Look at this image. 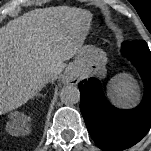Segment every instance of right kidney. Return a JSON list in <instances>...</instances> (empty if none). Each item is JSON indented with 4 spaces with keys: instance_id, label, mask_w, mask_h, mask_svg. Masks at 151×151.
<instances>
[{
    "instance_id": "1",
    "label": "right kidney",
    "mask_w": 151,
    "mask_h": 151,
    "mask_svg": "<svg viewBox=\"0 0 151 151\" xmlns=\"http://www.w3.org/2000/svg\"><path fill=\"white\" fill-rule=\"evenodd\" d=\"M12 122L19 123V122H25V120L21 119L19 113L16 112V113H13V115H12ZM13 131H14L13 132L14 134L17 133L15 130H13Z\"/></svg>"
}]
</instances>
